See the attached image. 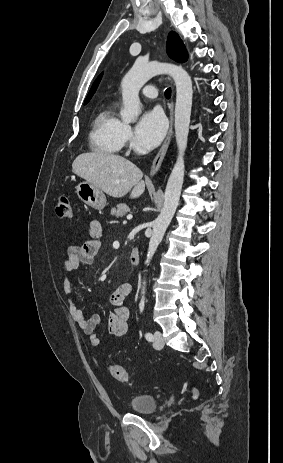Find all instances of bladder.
Segmentation results:
<instances>
[{"instance_id":"bladder-1","label":"bladder","mask_w":283,"mask_h":463,"mask_svg":"<svg viewBox=\"0 0 283 463\" xmlns=\"http://www.w3.org/2000/svg\"><path fill=\"white\" fill-rule=\"evenodd\" d=\"M158 399L148 394H138L131 397L128 407L139 415H152L158 409Z\"/></svg>"}]
</instances>
